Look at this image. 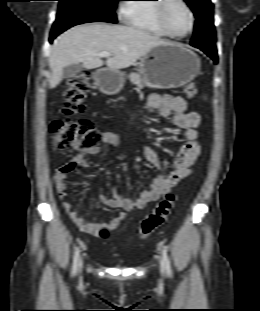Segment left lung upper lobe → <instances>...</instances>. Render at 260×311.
Returning <instances> with one entry per match:
<instances>
[{
  "mask_svg": "<svg viewBox=\"0 0 260 311\" xmlns=\"http://www.w3.org/2000/svg\"><path fill=\"white\" fill-rule=\"evenodd\" d=\"M196 17L191 45L215 48V26L213 24V4L210 0H184Z\"/></svg>",
  "mask_w": 260,
  "mask_h": 311,
  "instance_id": "5c2ea615",
  "label": "left lung upper lobe"
}]
</instances>
